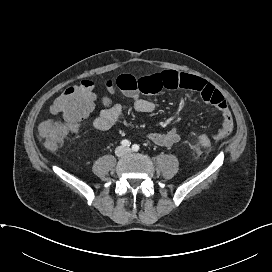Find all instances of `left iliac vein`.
<instances>
[{
  "label": "left iliac vein",
  "instance_id": "1",
  "mask_svg": "<svg viewBox=\"0 0 272 272\" xmlns=\"http://www.w3.org/2000/svg\"><path fill=\"white\" fill-rule=\"evenodd\" d=\"M126 151H127V152H130V149H129V148H127V149H126Z\"/></svg>",
  "mask_w": 272,
  "mask_h": 272
}]
</instances>
